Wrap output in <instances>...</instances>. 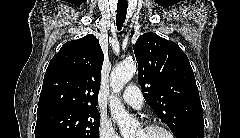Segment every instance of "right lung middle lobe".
<instances>
[{
  "mask_svg": "<svg viewBox=\"0 0 240 138\" xmlns=\"http://www.w3.org/2000/svg\"><path fill=\"white\" fill-rule=\"evenodd\" d=\"M97 109H60L37 115L35 137L61 135L66 138H98Z\"/></svg>",
  "mask_w": 240,
  "mask_h": 138,
  "instance_id": "dd1d6c3e",
  "label": "right lung middle lobe"
}]
</instances>
